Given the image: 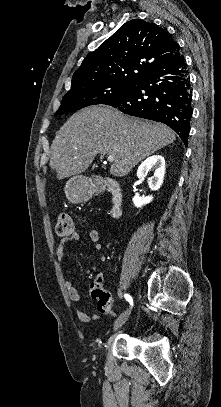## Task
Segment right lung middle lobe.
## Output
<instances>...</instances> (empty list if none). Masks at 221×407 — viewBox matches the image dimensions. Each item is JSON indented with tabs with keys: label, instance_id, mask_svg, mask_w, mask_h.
Returning <instances> with one entry per match:
<instances>
[{
	"label": "right lung middle lobe",
	"instance_id": "obj_1",
	"mask_svg": "<svg viewBox=\"0 0 221 407\" xmlns=\"http://www.w3.org/2000/svg\"><path fill=\"white\" fill-rule=\"evenodd\" d=\"M134 83H101L82 89L69 91L62 98L56 115L68 113L96 104H105L128 93Z\"/></svg>",
	"mask_w": 221,
	"mask_h": 407
}]
</instances>
